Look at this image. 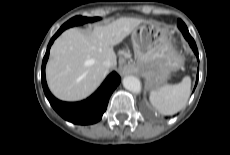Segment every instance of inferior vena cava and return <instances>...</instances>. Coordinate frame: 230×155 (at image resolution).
Here are the masks:
<instances>
[{"label":"inferior vena cava","mask_w":230,"mask_h":155,"mask_svg":"<svg viewBox=\"0 0 230 155\" xmlns=\"http://www.w3.org/2000/svg\"><path fill=\"white\" fill-rule=\"evenodd\" d=\"M115 64H116V60L114 58H108L103 62V66L107 69L113 67Z\"/></svg>","instance_id":"1"}]
</instances>
